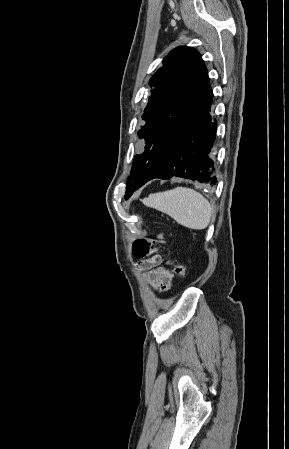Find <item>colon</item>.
Returning <instances> with one entry per match:
<instances>
[{"label":"colon","instance_id":"1","mask_svg":"<svg viewBox=\"0 0 289 449\" xmlns=\"http://www.w3.org/2000/svg\"><path fill=\"white\" fill-rule=\"evenodd\" d=\"M163 242H164V235L162 233L159 234L155 239L139 238L135 240L133 243L132 247L133 254L137 258L150 257L157 251L155 244ZM167 262L173 266L174 271L178 276L182 278L186 277L187 270L183 265L175 263L170 258H167Z\"/></svg>","mask_w":289,"mask_h":449}]
</instances>
